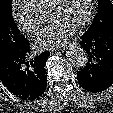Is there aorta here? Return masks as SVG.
Listing matches in <instances>:
<instances>
[{"instance_id": "1", "label": "aorta", "mask_w": 113, "mask_h": 113, "mask_svg": "<svg viewBox=\"0 0 113 113\" xmlns=\"http://www.w3.org/2000/svg\"><path fill=\"white\" fill-rule=\"evenodd\" d=\"M67 56L70 63L76 68H83L88 62V55L86 51L78 44H72L69 47Z\"/></svg>"}]
</instances>
